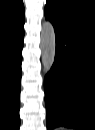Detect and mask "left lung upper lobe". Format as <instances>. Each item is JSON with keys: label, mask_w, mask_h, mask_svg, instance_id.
Masks as SVG:
<instances>
[{"label": "left lung upper lobe", "mask_w": 95, "mask_h": 130, "mask_svg": "<svg viewBox=\"0 0 95 130\" xmlns=\"http://www.w3.org/2000/svg\"><path fill=\"white\" fill-rule=\"evenodd\" d=\"M45 15L51 20H76L95 28L93 0H47Z\"/></svg>", "instance_id": "5c2ea615"}]
</instances>
